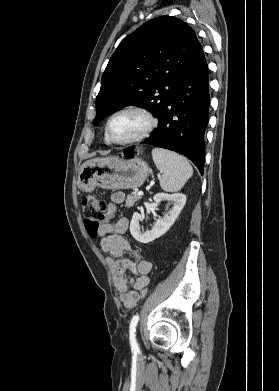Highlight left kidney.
I'll return each mask as SVG.
<instances>
[{
    "label": "left kidney",
    "instance_id": "left-kidney-1",
    "mask_svg": "<svg viewBox=\"0 0 279 391\" xmlns=\"http://www.w3.org/2000/svg\"><path fill=\"white\" fill-rule=\"evenodd\" d=\"M156 203L167 200L173 204V207L162 217L158 218L151 231H140L139 222L143 220L142 215L135 212L130 223V232L135 240L141 243H149L165 234L174 224L181 210L185 206L186 196L183 193H158L153 197Z\"/></svg>",
    "mask_w": 279,
    "mask_h": 391
}]
</instances>
